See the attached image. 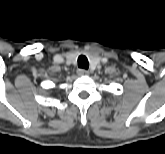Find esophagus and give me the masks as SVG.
<instances>
[{
    "mask_svg": "<svg viewBox=\"0 0 165 154\" xmlns=\"http://www.w3.org/2000/svg\"><path fill=\"white\" fill-rule=\"evenodd\" d=\"M77 73H78L79 76H87V75H89V71L86 70V69H82V68L78 69Z\"/></svg>",
    "mask_w": 165,
    "mask_h": 154,
    "instance_id": "1",
    "label": "esophagus"
}]
</instances>
